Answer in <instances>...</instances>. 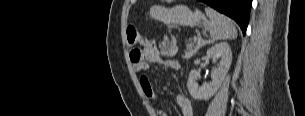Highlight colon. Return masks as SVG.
<instances>
[{"instance_id":"5ec220e1","label":"colon","mask_w":305,"mask_h":116,"mask_svg":"<svg viewBox=\"0 0 305 116\" xmlns=\"http://www.w3.org/2000/svg\"><path fill=\"white\" fill-rule=\"evenodd\" d=\"M126 37H127V45L129 47H134L138 43L145 44L149 40L146 37L142 36L141 33L138 31V29L133 25L127 27ZM131 53L137 56V49H132Z\"/></svg>"}]
</instances>
